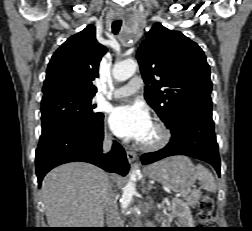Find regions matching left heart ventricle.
<instances>
[{
    "label": "left heart ventricle",
    "mask_w": 252,
    "mask_h": 231,
    "mask_svg": "<svg viewBox=\"0 0 252 231\" xmlns=\"http://www.w3.org/2000/svg\"><path fill=\"white\" fill-rule=\"evenodd\" d=\"M159 137V132L158 130L152 126L150 131L148 132V134L146 135V137L144 138V140L142 142L145 143H152L155 142Z\"/></svg>",
    "instance_id": "1"
}]
</instances>
